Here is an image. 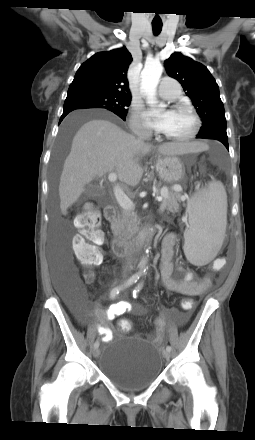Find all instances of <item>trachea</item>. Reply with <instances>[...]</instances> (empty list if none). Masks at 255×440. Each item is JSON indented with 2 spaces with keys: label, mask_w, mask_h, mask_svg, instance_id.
I'll return each mask as SVG.
<instances>
[{
  "label": "trachea",
  "mask_w": 255,
  "mask_h": 440,
  "mask_svg": "<svg viewBox=\"0 0 255 440\" xmlns=\"http://www.w3.org/2000/svg\"><path fill=\"white\" fill-rule=\"evenodd\" d=\"M152 30L155 35H158L162 30V23H152Z\"/></svg>",
  "instance_id": "trachea-1"
}]
</instances>
